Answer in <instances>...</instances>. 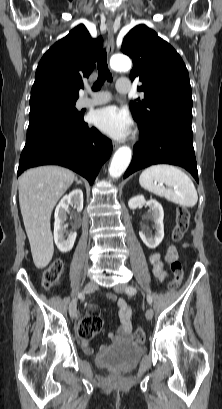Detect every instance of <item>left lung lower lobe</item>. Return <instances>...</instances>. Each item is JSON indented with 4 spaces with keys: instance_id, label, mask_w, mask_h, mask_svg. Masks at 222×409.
<instances>
[{
    "instance_id": "1",
    "label": "left lung lower lobe",
    "mask_w": 222,
    "mask_h": 409,
    "mask_svg": "<svg viewBox=\"0 0 222 409\" xmlns=\"http://www.w3.org/2000/svg\"><path fill=\"white\" fill-rule=\"evenodd\" d=\"M140 138L124 178L150 165L165 163L185 168L198 182L191 123L177 117L159 119L140 125Z\"/></svg>"
}]
</instances>
